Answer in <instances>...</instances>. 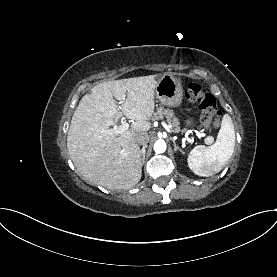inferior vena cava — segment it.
<instances>
[{
  "label": "inferior vena cava",
  "instance_id": "1",
  "mask_svg": "<svg viewBox=\"0 0 277 277\" xmlns=\"http://www.w3.org/2000/svg\"><path fill=\"white\" fill-rule=\"evenodd\" d=\"M149 135L146 132H140L136 133L134 136V139L138 145L147 146V143L149 141Z\"/></svg>",
  "mask_w": 277,
  "mask_h": 277
}]
</instances>
